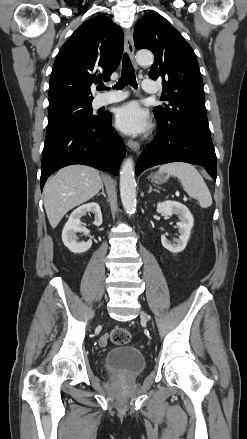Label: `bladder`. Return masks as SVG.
Returning <instances> with one entry per match:
<instances>
[{
  "instance_id": "obj_1",
  "label": "bladder",
  "mask_w": 247,
  "mask_h": 439,
  "mask_svg": "<svg viewBox=\"0 0 247 439\" xmlns=\"http://www.w3.org/2000/svg\"><path fill=\"white\" fill-rule=\"evenodd\" d=\"M145 365L144 354L133 346L112 349L104 357V367L113 376H136L144 370Z\"/></svg>"
}]
</instances>
